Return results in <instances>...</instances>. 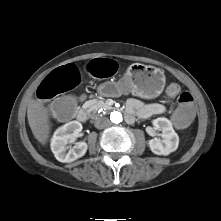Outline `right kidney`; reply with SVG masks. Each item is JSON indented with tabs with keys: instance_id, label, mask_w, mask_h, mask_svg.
I'll return each instance as SVG.
<instances>
[{
	"instance_id": "ca27d5eb",
	"label": "right kidney",
	"mask_w": 221,
	"mask_h": 221,
	"mask_svg": "<svg viewBox=\"0 0 221 221\" xmlns=\"http://www.w3.org/2000/svg\"><path fill=\"white\" fill-rule=\"evenodd\" d=\"M81 130L82 124L80 122L71 121L54 132L51 139V150L59 162L70 163L85 155L88 148L86 142H77L72 148L66 146L74 142Z\"/></svg>"
}]
</instances>
